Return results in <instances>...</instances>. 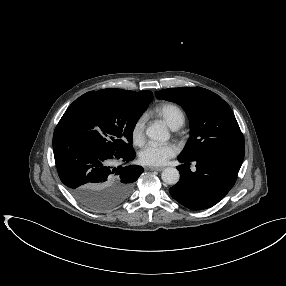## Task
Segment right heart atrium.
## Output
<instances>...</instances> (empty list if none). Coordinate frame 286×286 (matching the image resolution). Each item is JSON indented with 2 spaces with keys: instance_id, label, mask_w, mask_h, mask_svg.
Returning <instances> with one entry per match:
<instances>
[{
  "instance_id": "d8ad5b80",
  "label": "right heart atrium",
  "mask_w": 286,
  "mask_h": 286,
  "mask_svg": "<svg viewBox=\"0 0 286 286\" xmlns=\"http://www.w3.org/2000/svg\"><path fill=\"white\" fill-rule=\"evenodd\" d=\"M145 123H146V116L141 115L139 116L136 121L134 122L132 129H131V137L132 141L135 145H142L145 138Z\"/></svg>"
}]
</instances>
